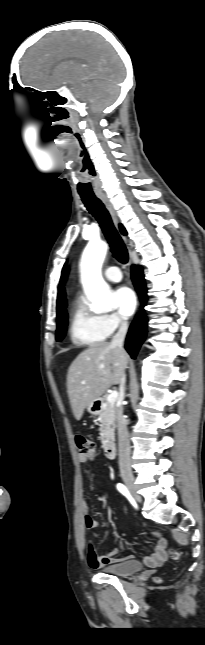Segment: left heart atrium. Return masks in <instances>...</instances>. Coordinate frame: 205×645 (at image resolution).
Segmentation results:
<instances>
[{
  "label": "left heart atrium",
  "instance_id": "left-heart-atrium-1",
  "mask_svg": "<svg viewBox=\"0 0 205 645\" xmlns=\"http://www.w3.org/2000/svg\"><path fill=\"white\" fill-rule=\"evenodd\" d=\"M114 300L117 304L119 313L124 317H130L136 308V297L134 292L128 287H120L114 292Z\"/></svg>",
  "mask_w": 205,
  "mask_h": 645
}]
</instances>
